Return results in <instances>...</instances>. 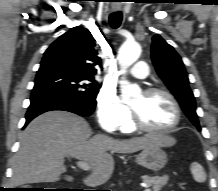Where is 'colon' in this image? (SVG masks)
Listing matches in <instances>:
<instances>
[{
    "label": "colon",
    "mask_w": 218,
    "mask_h": 191,
    "mask_svg": "<svg viewBox=\"0 0 218 191\" xmlns=\"http://www.w3.org/2000/svg\"><path fill=\"white\" fill-rule=\"evenodd\" d=\"M28 191H38L37 189L30 188Z\"/></svg>",
    "instance_id": "obj_1"
}]
</instances>
